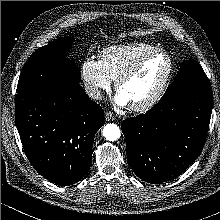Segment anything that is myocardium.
Segmentation results:
<instances>
[{"label": "myocardium", "instance_id": "obj_1", "mask_svg": "<svg viewBox=\"0 0 220 220\" xmlns=\"http://www.w3.org/2000/svg\"><path fill=\"white\" fill-rule=\"evenodd\" d=\"M158 54H163L165 55L168 60H169V69L167 71V74L165 75L161 85L158 87V89L145 101L138 103V104H134L131 105L130 108L133 111L136 112H142V111H146L152 107H154L164 96L170 82L171 79L173 77L174 74V70H175V62L173 57L164 49L161 48H156L154 50H151L147 53H145L144 55H142L136 62H134L127 70H125L123 73H121L117 79H116V83H115V88L117 91H119L121 85L129 80L130 78H132L135 74L138 73V71L141 69V67L143 66V64L151 57L158 55Z\"/></svg>", "mask_w": 220, "mask_h": 220}]
</instances>
